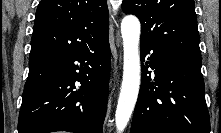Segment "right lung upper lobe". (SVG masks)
<instances>
[{"mask_svg": "<svg viewBox=\"0 0 221 133\" xmlns=\"http://www.w3.org/2000/svg\"><path fill=\"white\" fill-rule=\"evenodd\" d=\"M108 33L106 0H41L29 61L75 52Z\"/></svg>", "mask_w": 221, "mask_h": 133, "instance_id": "right-lung-upper-lobe-1", "label": "right lung upper lobe"}]
</instances>
